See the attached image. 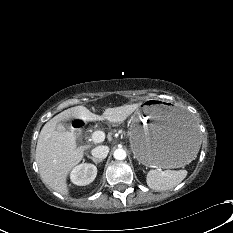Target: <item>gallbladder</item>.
I'll use <instances>...</instances> for the list:
<instances>
[{"label":"gallbladder","mask_w":233,"mask_h":233,"mask_svg":"<svg viewBox=\"0 0 233 233\" xmlns=\"http://www.w3.org/2000/svg\"><path fill=\"white\" fill-rule=\"evenodd\" d=\"M57 128H58V129H64V124H63V123H59V124L57 125Z\"/></svg>","instance_id":"1"}]
</instances>
